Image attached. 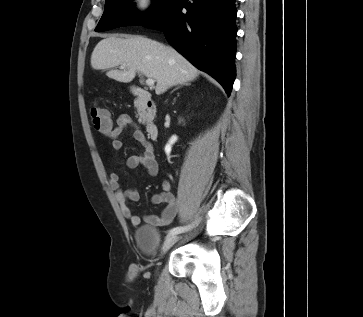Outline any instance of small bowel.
Wrapping results in <instances>:
<instances>
[{"instance_id":"1","label":"small bowel","mask_w":363,"mask_h":317,"mask_svg":"<svg viewBox=\"0 0 363 317\" xmlns=\"http://www.w3.org/2000/svg\"><path fill=\"white\" fill-rule=\"evenodd\" d=\"M130 126H134V123L130 116L121 115L115 127H110L109 130L103 132L107 137L111 139V147L114 151H119L123 147V142L120 139L121 134ZM133 137L143 147L144 152L141 154L131 155L126 159V166L130 169L142 166L145 168L150 176H156L159 172V166L156 160L155 152L152 143L147 139L144 132L134 126ZM110 187L114 190L116 199L120 205L122 214L133 224L139 225L141 223L140 217L134 215L129 207L130 201H139L140 194L137 189L131 188L123 190L120 187L119 174L113 172L109 177ZM162 192L153 194L151 202L153 204L165 203L166 207L162 211L161 215L147 216V221L151 224L165 227L173 223L176 218L180 203L177 198L171 192V185L169 180L165 179L162 182Z\"/></svg>"}]
</instances>
